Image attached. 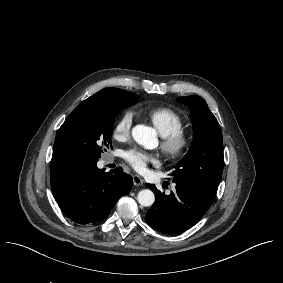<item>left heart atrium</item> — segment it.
<instances>
[{"label": "left heart atrium", "instance_id": "39dd6f15", "mask_svg": "<svg viewBox=\"0 0 283 283\" xmlns=\"http://www.w3.org/2000/svg\"><path fill=\"white\" fill-rule=\"evenodd\" d=\"M125 160L136 170L142 171L150 163L157 161L156 156L139 149H129L124 154Z\"/></svg>", "mask_w": 283, "mask_h": 283}]
</instances>
